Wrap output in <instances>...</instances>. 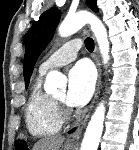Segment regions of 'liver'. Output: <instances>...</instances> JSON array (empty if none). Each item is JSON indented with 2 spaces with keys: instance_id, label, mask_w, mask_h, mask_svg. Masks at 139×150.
<instances>
[{
  "instance_id": "obj_1",
  "label": "liver",
  "mask_w": 139,
  "mask_h": 150,
  "mask_svg": "<svg viewBox=\"0 0 139 150\" xmlns=\"http://www.w3.org/2000/svg\"><path fill=\"white\" fill-rule=\"evenodd\" d=\"M63 141V136L46 137L39 140L32 150H59Z\"/></svg>"
}]
</instances>
